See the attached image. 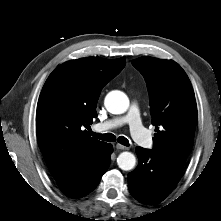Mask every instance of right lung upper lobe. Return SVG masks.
I'll use <instances>...</instances> for the list:
<instances>
[{
  "label": "right lung upper lobe",
  "mask_w": 221,
  "mask_h": 221,
  "mask_svg": "<svg viewBox=\"0 0 221 221\" xmlns=\"http://www.w3.org/2000/svg\"><path fill=\"white\" fill-rule=\"evenodd\" d=\"M125 58L88 57L66 62L46 80L36 111L40 150L55 180L100 162L109 144L87 135L97 117L102 88L125 66Z\"/></svg>",
  "instance_id": "cb5924a9"
}]
</instances>
